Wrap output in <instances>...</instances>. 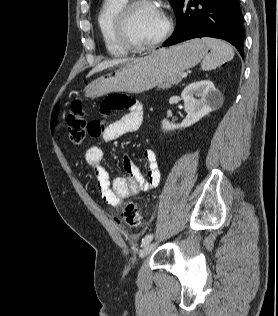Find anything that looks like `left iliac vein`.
<instances>
[{"mask_svg":"<svg viewBox=\"0 0 278 316\" xmlns=\"http://www.w3.org/2000/svg\"><path fill=\"white\" fill-rule=\"evenodd\" d=\"M156 247L155 243H150L148 245H146L143 250L140 252V258L144 259L145 257H147Z\"/></svg>","mask_w":278,"mask_h":316,"instance_id":"1","label":"left iliac vein"}]
</instances>
